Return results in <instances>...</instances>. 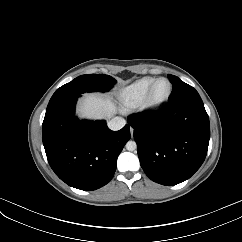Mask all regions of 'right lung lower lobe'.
I'll return each instance as SVG.
<instances>
[{"label": "right lung lower lobe", "instance_id": "98d812e1", "mask_svg": "<svg viewBox=\"0 0 242 242\" xmlns=\"http://www.w3.org/2000/svg\"><path fill=\"white\" fill-rule=\"evenodd\" d=\"M79 95L48 104L42 138L48 162L69 186L91 191L106 185L116 170L117 158L130 139L126 124L110 130L105 121H81L75 116Z\"/></svg>", "mask_w": 242, "mask_h": 242}]
</instances>
